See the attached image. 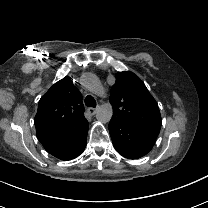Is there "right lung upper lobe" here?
Returning a JSON list of instances; mask_svg holds the SVG:
<instances>
[{
  "instance_id": "obj_1",
  "label": "right lung upper lobe",
  "mask_w": 208,
  "mask_h": 208,
  "mask_svg": "<svg viewBox=\"0 0 208 208\" xmlns=\"http://www.w3.org/2000/svg\"><path fill=\"white\" fill-rule=\"evenodd\" d=\"M85 120L81 93L66 76L41 97L34 124L40 138L64 133Z\"/></svg>"
}]
</instances>
